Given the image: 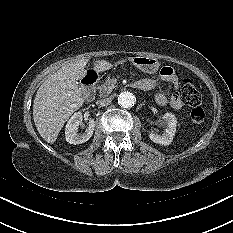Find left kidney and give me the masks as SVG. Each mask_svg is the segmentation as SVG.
Wrapping results in <instances>:
<instances>
[{
	"label": "left kidney",
	"instance_id": "1",
	"mask_svg": "<svg viewBox=\"0 0 233 233\" xmlns=\"http://www.w3.org/2000/svg\"><path fill=\"white\" fill-rule=\"evenodd\" d=\"M163 119L166 123V129L163 131L162 134H155L151 132L149 134V138L157 144L161 145H169L176 132L177 127V119L174 114L172 113H165L163 115Z\"/></svg>",
	"mask_w": 233,
	"mask_h": 233
}]
</instances>
